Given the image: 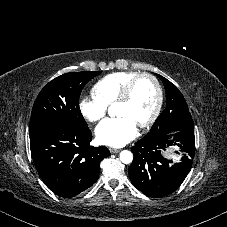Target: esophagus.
<instances>
[{
	"label": "esophagus",
	"instance_id": "34e87169",
	"mask_svg": "<svg viewBox=\"0 0 227 227\" xmlns=\"http://www.w3.org/2000/svg\"><path fill=\"white\" fill-rule=\"evenodd\" d=\"M109 150H110V152L113 153V154L118 153V152L120 151L119 149L112 148V147H110Z\"/></svg>",
	"mask_w": 227,
	"mask_h": 227
}]
</instances>
